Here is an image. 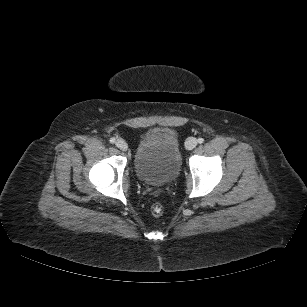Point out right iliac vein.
<instances>
[{"label":"right iliac vein","mask_w":307,"mask_h":307,"mask_svg":"<svg viewBox=\"0 0 307 307\" xmlns=\"http://www.w3.org/2000/svg\"><path fill=\"white\" fill-rule=\"evenodd\" d=\"M116 146L122 151H126L128 149V144L122 139L116 141Z\"/></svg>","instance_id":"1"}]
</instances>
